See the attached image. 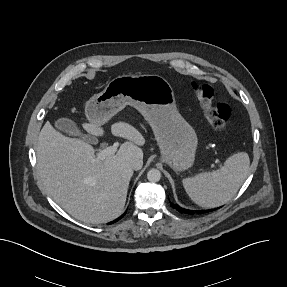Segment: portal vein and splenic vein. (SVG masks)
<instances>
[{"mask_svg":"<svg viewBox=\"0 0 287 287\" xmlns=\"http://www.w3.org/2000/svg\"><path fill=\"white\" fill-rule=\"evenodd\" d=\"M119 146L118 142H115L112 146H108L100 150L97 154V158L104 160L106 157L115 154Z\"/></svg>","mask_w":287,"mask_h":287,"instance_id":"18ae733b","label":"portal vein and splenic vein"}]
</instances>
